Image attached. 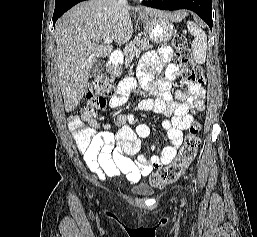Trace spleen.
<instances>
[{"label":"spleen","mask_w":257,"mask_h":237,"mask_svg":"<svg viewBox=\"0 0 257 237\" xmlns=\"http://www.w3.org/2000/svg\"><path fill=\"white\" fill-rule=\"evenodd\" d=\"M189 32L195 37L191 44L194 60L203 64L206 59L207 36L205 32L193 22H187Z\"/></svg>","instance_id":"3e777b00"}]
</instances>
